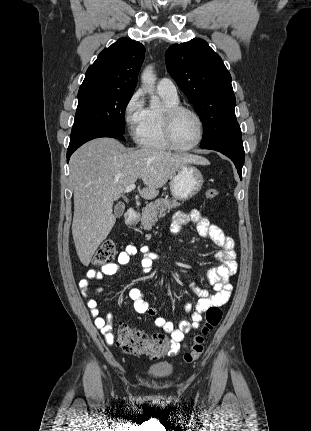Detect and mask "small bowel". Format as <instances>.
Returning a JSON list of instances; mask_svg holds the SVG:
<instances>
[{
	"label": "small bowel",
	"instance_id": "small-bowel-1",
	"mask_svg": "<svg viewBox=\"0 0 311 431\" xmlns=\"http://www.w3.org/2000/svg\"><path fill=\"white\" fill-rule=\"evenodd\" d=\"M194 223L201 237L211 240L220 248L215 256L217 265L211 268L207 273V280L213 285L211 292L195 287L192 285L195 293L200 297L195 311L191 314L190 319L184 320L178 327L163 317L157 316V310L151 307L144 297L142 290L132 288L129 291V298L133 302L135 312L139 314H148L154 320V324L162 328L166 333L171 335L172 341L176 344L180 343L186 333L190 332L199 326L202 320L203 312L207 311L212 306L220 307L226 304L231 296L232 285L229 283V278L236 272V252L234 250V240L226 236L223 230L217 225L212 224L209 219L203 216L198 210H192L189 213L178 212L171 218V232L177 236L182 226ZM142 258L140 261L142 271L149 273L152 270L153 263L160 259V255L149 250L147 247L140 249ZM137 253V248L129 244L119 253L115 263L102 266L99 270L90 269L86 273V279L79 282V288L83 297L86 299V306L94 320L95 326L100 330L105 341L108 344L114 342L112 332L111 316L106 318L100 315V310L97 301L92 297L103 291L99 287L90 290L89 280H102L106 276L116 275L120 272L121 267L129 264L131 257ZM187 310L191 306L187 304Z\"/></svg>",
	"mask_w": 311,
	"mask_h": 431
}]
</instances>
